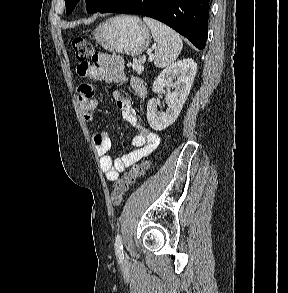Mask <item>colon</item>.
<instances>
[{"instance_id": "colon-1", "label": "colon", "mask_w": 288, "mask_h": 293, "mask_svg": "<svg viewBox=\"0 0 288 293\" xmlns=\"http://www.w3.org/2000/svg\"><path fill=\"white\" fill-rule=\"evenodd\" d=\"M72 47L76 59L80 63H88V59L93 53L92 44L83 38H75L72 42ZM151 164V160H145L135 165L130 171L116 181L111 193V201L113 205L118 206L121 204L125 193L139 177L144 175V173L150 168Z\"/></svg>"}]
</instances>
